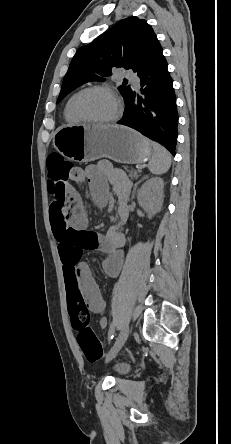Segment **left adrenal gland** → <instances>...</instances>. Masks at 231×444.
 <instances>
[{"label":"left adrenal gland","mask_w":231,"mask_h":444,"mask_svg":"<svg viewBox=\"0 0 231 444\" xmlns=\"http://www.w3.org/2000/svg\"><path fill=\"white\" fill-rule=\"evenodd\" d=\"M145 178H146V177H143L141 180H139L137 183H135L134 188H133V194H132V195H134L137 185H138L142 180H144ZM132 198H133V197H132Z\"/></svg>","instance_id":"a2214340"}]
</instances>
